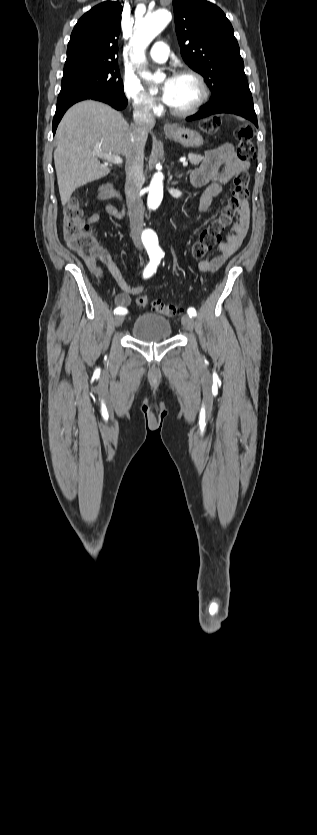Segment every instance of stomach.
Listing matches in <instances>:
<instances>
[{
    "label": "stomach",
    "mask_w": 317,
    "mask_h": 835,
    "mask_svg": "<svg viewBox=\"0 0 317 835\" xmlns=\"http://www.w3.org/2000/svg\"><path fill=\"white\" fill-rule=\"evenodd\" d=\"M165 135L169 139L187 147L198 148L203 144V137L190 128L174 126L172 130L165 131Z\"/></svg>",
    "instance_id": "stomach-1"
}]
</instances>
